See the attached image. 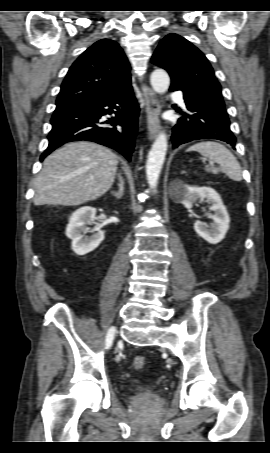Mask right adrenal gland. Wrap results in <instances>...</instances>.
I'll use <instances>...</instances> for the list:
<instances>
[{"instance_id":"2a0ac1e0","label":"right adrenal gland","mask_w":270,"mask_h":453,"mask_svg":"<svg viewBox=\"0 0 270 453\" xmlns=\"http://www.w3.org/2000/svg\"><path fill=\"white\" fill-rule=\"evenodd\" d=\"M118 186H119L118 191L117 192L116 191H111V194L113 196H115L116 199L120 200L123 197V195H124V181H123V179L121 177L119 178Z\"/></svg>"}]
</instances>
